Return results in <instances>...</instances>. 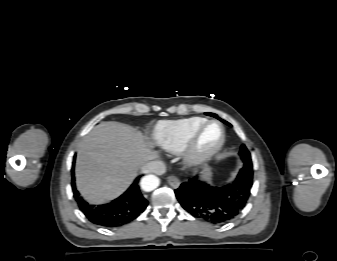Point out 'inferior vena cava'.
Wrapping results in <instances>:
<instances>
[{
  "label": "inferior vena cava",
  "mask_w": 337,
  "mask_h": 261,
  "mask_svg": "<svg viewBox=\"0 0 337 261\" xmlns=\"http://www.w3.org/2000/svg\"><path fill=\"white\" fill-rule=\"evenodd\" d=\"M142 173H160L163 174L165 172V165L161 161H151L146 163L141 167Z\"/></svg>",
  "instance_id": "1"
}]
</instances>
